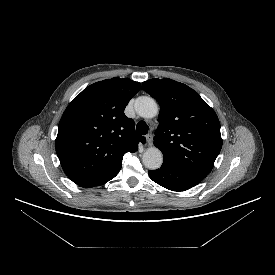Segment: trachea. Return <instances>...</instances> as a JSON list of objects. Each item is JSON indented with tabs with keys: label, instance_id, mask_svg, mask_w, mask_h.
<instances>
[{
	"label": "trachea",
	"instance_id": "3493384b",
	"mask_svg": "<svg viewBox=\"0 0 275 275\" xmlns=\"http://www.w3.org/2000/svg\"><path fill=\"white\" fill-rule=\"evenodd\" d=\"M149 127L144 121L137 123L136 131L141 135H146L148 133Z\"/></svg>",
	"mask_w": 275,
	"mask_h": 275
}]
</instances>
